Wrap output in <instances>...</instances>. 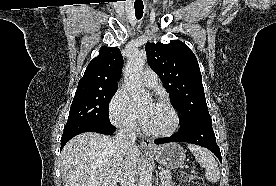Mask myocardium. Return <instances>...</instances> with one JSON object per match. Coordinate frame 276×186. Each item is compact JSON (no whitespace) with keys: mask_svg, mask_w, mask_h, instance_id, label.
Here are the masks:
<instances>
[{"mask_svg":"<svg viewBox=\"0 0 276 186\" xmlns=\"http://www.w3.org/2000/svg\"><path fill=\"white\" fill-rule=\"evenodd\" d=\"M158 103L165 106L166 108H168L170 110V112L172 113L173 119H174L172 127L166 131H151L144 125L143 131L148 136H151V137H160L161 138V137L171 136L179 128V124H180L179 114H178L177 110L172 106V104L170 102H168L167 100L162 99V100H159Z\"/></svg>","mask_w":276,"mask_h":186,"instance_id":"myocardium-1","label":"myocardium"}]
</instances>
